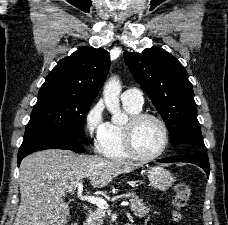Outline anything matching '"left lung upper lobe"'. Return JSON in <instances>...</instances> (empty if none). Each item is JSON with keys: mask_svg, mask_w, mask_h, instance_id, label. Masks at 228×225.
Here are the masks:
<instances>
[{"mask_svg": "<svg viewBox=\"0 0 228 225\" xmlns=\"http://www.w3.org/2000/svg\"><path fill=\"white\" fill-rule=\"evenodd\" d=\"M124 58L164 119L171 144H186L190 153H205L193 86L183 65L157 47L146 48L142 53L124 52Z\"/></svg>", "mask_w": 228, "mask_h": 225, "instance_id": "1", "label": "left lung upper lobe"}]
</instances>
